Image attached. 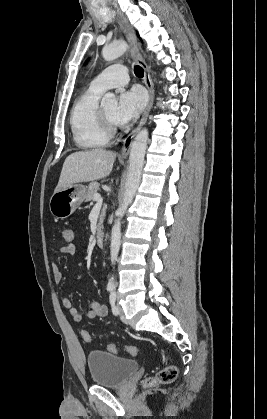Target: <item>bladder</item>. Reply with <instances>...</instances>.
I'll return each instance as SVG.
<instances>
[{
  "label": "bladder",
  "mask_w": 267,
  "mask_h": 419,
  "mask_svg": "<svg viewBox=\"0 0 267 419\" xmlns=\"http://www.w3.org/2000/svg\"><path fill=\"white\" fill-rule=\"evenodd\" d=\"M87 366L92 382L109 388L124 385L139 369L136 360L101 350L88 353Z\"/></svg>",
  "instance_id": "31cf9c89"
}]
</instances>
